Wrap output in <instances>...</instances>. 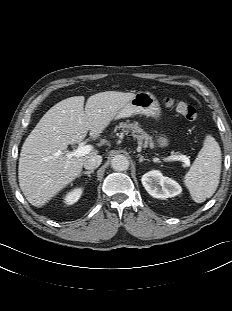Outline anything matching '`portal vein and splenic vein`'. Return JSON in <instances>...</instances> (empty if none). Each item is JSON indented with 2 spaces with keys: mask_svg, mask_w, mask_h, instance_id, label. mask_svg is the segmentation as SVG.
<instances>
[{
  "mask_svg": "<svg viewBox=\"0 0 232 311\" xmlns=\"http://www.w3.org/2000/svg\"><path fill=\"white\" fill-rule=\"evenodd\" d=\"M91 150V145H86L84 142H81L76 150L67 152L66 157L68 158V160L72 159V157H82L89 154ZM165 161H182L185 164H189V159L185 155L171 156L169 158H166Z\"/></svg>",
  "mask_w": 232,
  "mask_h": 311,
  "instance_id": "obj_1",
  "label": "portal vein and splenic vein"
}]
</instances>
